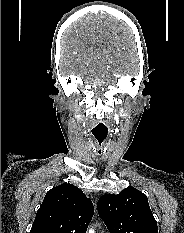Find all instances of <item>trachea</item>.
Instances as JSON below:
<instances>
[{
	"label": "trachea",
	"mask_w": 184,
	"mask_h": 233,
	"mask_svg": "<svg viewBox=\"0 0 184 233\" xmlns=\"http://www.w3.org/2000/svg\"><path fill=\"white\" fill-rule=\"evenodd\" d=\"M108 130L103 125H98L95 128L92 129V136L95 141L96 145V151H98L99 154L103 152V147L105 140L107 138Z\"/></svg>",
	"instance_id": "trachea-1"
}]
</instances>
